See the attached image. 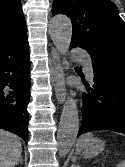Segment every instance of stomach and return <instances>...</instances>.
Listing matches in <instances>:
<instances>
[{"label": "stomach", "mask_w": 125, "mask_h": 167, "mask_svg": "<svg viewBox=\"0 0 125 167\" xmlns=\"http://www.w3.org/2000/svg\"><path fill=\"white\" fill-rule=\"evenodd\" d=\"M104 145V141L98 138H91L84 144L83 148L79 149V152L85 157H94L103 151Z\"/></svg>", "instance_id": "1"}]
</instances>
